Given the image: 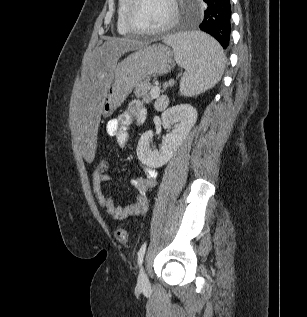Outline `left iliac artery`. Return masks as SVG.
Masks as SVG:
<instances>
[{
    "instance_id": "obj_1",
    "label": "left iliac artery",
    "mask_w": 307,
    "mask_h": 317,
    "mask_svg": "<svg viewBox=\"0 0 307 317\" xmlns=\"http://www.w3.org/2000/svg\"><path fill=\"white\" fill-rule=\"evenodd\" d=\"M146 245L147 243L144 242L143 245L141 246L140 250L138 251V265L141 266L144 258V254L146 251Z\"/></svg>"
}]
</instances>
